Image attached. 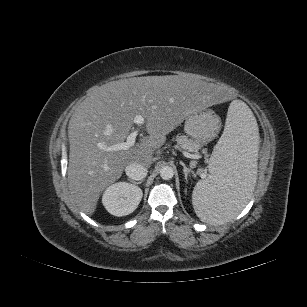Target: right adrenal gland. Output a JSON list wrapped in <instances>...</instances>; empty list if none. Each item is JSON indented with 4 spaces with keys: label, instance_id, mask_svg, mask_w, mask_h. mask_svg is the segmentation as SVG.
<instances>
[{
    "label": "right adrenal gland",
    "instance_id": "right-adrenal-gland-1",
    "mask_svg": "<svg viewBox=\"0 0 307 307\" xmlns=\"http://www.w3.org/2000/svg\"><path fill=\"white\" fill-rule=\"evenodd\" d=\"M129 181H130L131 183H133V184H136V185H138V184H141V183H142V181L136 182V181H133V180H130V179H129Z\"/></svg>",
    "mask_w": 307,
    "mask_h": 307
}]
</instances>
